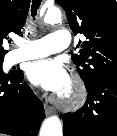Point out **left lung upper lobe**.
<instances>
[{"instance_id":"1","label":"left lung upper lobe","mask_w":117,"mask_h":136,"mask_svg":"<svg viewBox=\"0 0 117 136\" xmlns=\"http://www.w3.org/2000/svg\"><path fill=\"white\" fill-rule=\"evenodd\" d=\"M66 11L70 28L86 40L72 58L86 87L117 73V2L115 0H55ZM77 46V47H78Z\"/></svg>"}]
</instances>
